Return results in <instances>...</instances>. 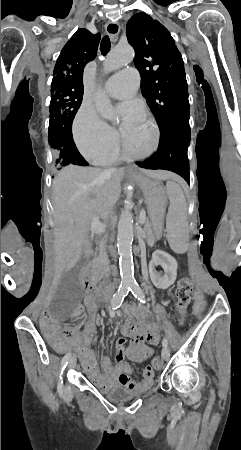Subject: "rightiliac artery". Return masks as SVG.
<instances>
[{"instance_id": "right-iliac-artery-1", "label": "right iliac artery", "mask_w": 241, "mask_h": 450, "mask_svg": "<svg viewBox=\"0 0 241 450\" xmlns=\"http://www.w3.org/2000/svg\"><path fill=\"white\" fill-rule=\"evenodd\" d=\"M130 291V287L129 286H123L121 288L118 289V291L113 295L112 300H111V305H112V309H117L121 306L124 298L128 295ZM71 358V353L66 354L64 356V360L62 361V366H61V374L59 376V381L57 384V390L60 394L63 393V380H62V374H63V370L67 365V361Z\"/></svg>"}]
</instances>
